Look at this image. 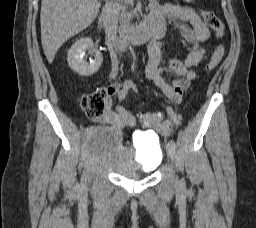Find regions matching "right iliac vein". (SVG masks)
<instances>
[{
  "label": "right iliac vein",
  "instance_id": "1",
  "mask_svg": "<svg viewBox=\"0 0 256 228\" xmlns=\"http://www.w3.org/2000/svg\"><path fill=\"white\" fill-rule=\"evenodd\" d=\"M92 138H93V135H92V134H89L88 136H86V137H85L86 143H87V144H90ZM81 184H82V186H84V185L86 184V178H83V179H82Z\"/></svg>",
  "mask_w": 256,
  "mask_h": 228
}]
</instances>
